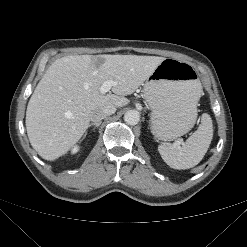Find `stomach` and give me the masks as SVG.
<instances>
[{
    "instance_id": "obj_1",
    "label": "stomach",
    "mask_w": 247,
    "mask_h": 247,
    "mask_svg": "<svg viewBox=\"0 0 247 247\" xmlns=\"http://www.w3.org/2000/svg\"><path fill=\"white\" fill-rule=\"evenodd\" d=\"M202 87L187 62L166 58L144 84L150 106L151 131L162 141H171L193 128Z\"/></svg>"
}]
</instances>
